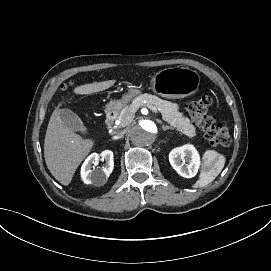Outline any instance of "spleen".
<instances>
[{
  "label": "spleen",
  "instance_id": "obj_1",
  "mask_svg": "<svg viewBox=\"0 0 271 271\" xmlns=\"http://www.w3.org/2000/svg\"><path fill=\"white\" fill-rule=\"evenodd\" d=\"M226 163V155L215 150L205 151L199 178L192 186L193 188H203L212 183L221 173Z\"/></svg>",
  "mask_w": 271,
  "mask_h": 271
}]
</instances>
